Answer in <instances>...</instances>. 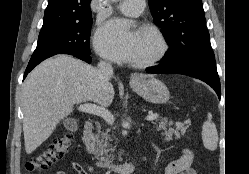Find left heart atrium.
Masks as SVG:
<instances>
[{"label":"left heart atrium","mask_w":249,"mask_h":174,"mask_svg":"<svg viewBox=\"0 0 249 174\" xmlns=\"http://www.w3.org/2000/svg\"><path fill=\"white\" fill-rule=\"evenodd\" d=\"M136 31L130 30L123 20H111L95 36L98 51L114 61H132Z\"/></svg>","instance_id":"1"}]
</instances>
